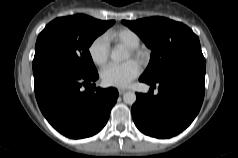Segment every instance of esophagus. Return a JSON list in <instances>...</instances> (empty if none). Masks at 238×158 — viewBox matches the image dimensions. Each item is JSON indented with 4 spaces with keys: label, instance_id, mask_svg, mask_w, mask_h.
I'll return each instance as SVG.
<instances>
[{
    "label": "esophagus",
    "instance_id": "esophagus-1",
    "mask_svg": "<svg viewBox=\"0 0 238 158\" xmlns=\"http://www.w3.org/2000/svg\"><path fill=\"white\" fill-rule=\"evenodd\" d=\"M118 92H119L120 95H122L126 92V90L125 89H119Z\"/></svg>",
    "mask_w": 238,
    "mask_h": 158
}]
</instances>
